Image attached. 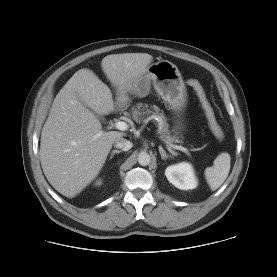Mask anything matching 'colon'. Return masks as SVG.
Instances as JSON below:
<instances>
[{
  "label": "colon",
  "instance_id": "obj_1",
  "mask_svg": "<svg viewBox=\"0 0 277 277\" xmlns=\"http://www.w3.org/2000/svg\"><path fill=\"white\" fill-rule=\"evenodd\" d=\"M187 83L196 93V96L199 100L200 106L203 110L204 116L212 134L215 136L216 139L220 141L223 140L225 136L224 130L218 122L215 111L211 106L202 85L196 79H189Z\"/></svg>",
  "mask_w": 277,
  "mask_h": 277
}]
</instances>
